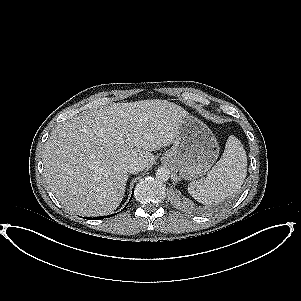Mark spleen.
I'll use <instances>...</instances> for the list:
<instances>
[{"label":"spleen","mask_w":301,"mask_h":301,"mask_svg":"<svg viewBox=\"0 0 301 301\" xmlns=\"http://www.w3.org/2000/svg\"><path fill=\"white\" fill-rule=\"evenodd\" d=\"M247 175V157L241 143L230 137L220 160L198 182L188 185V193L200 203L212 204L235 195Z\"/></svg>","instance_id":"spleen-1"}]
</instances>
